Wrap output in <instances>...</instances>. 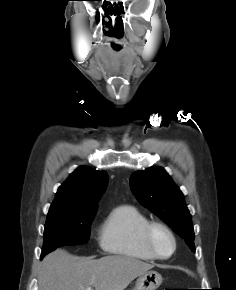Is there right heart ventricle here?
Instances as JSON below:
<instances>
[{"label": "right heart ventricle", "mask_w": 236, "mask_h": 290, "mask_svg": "<svg viewBox=\"0 0 236 290\" xmlns=\"http://www.w3.org/2000/svg\"><path fill=\"white\" fill-rule=\"evenodd\" d=\"M149 218L136 206L123 204L114 207L104 220L99 243L108 254L134 260L153 261L143 242V230Z\"/></svg>", "instance_id": "e07e8e85"}]
</instances>
